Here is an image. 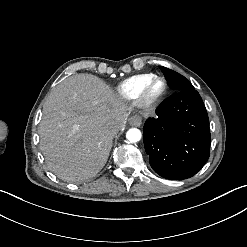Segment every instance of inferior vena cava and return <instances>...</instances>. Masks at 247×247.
I'll list each match as a JSON object with an SVG mask.
<instances>
[{
	"mask_svg": "<svg viewBox=\"0 0 247 247\" xmlns=\"http://www.w3.org/2000/svg\"><path fill=\"white\" fill-rule=\"evenodd\" d=\"M121 131L120 127L119 126H114V127H110L109 128V134L112 136V137H115L118 132Z\"/></svg>",
	"mask_w": 247,
	"mask_h": 247,
	"instance_id": "obj_1",
	"label": "inferior vena cava"
}]
</instances>
